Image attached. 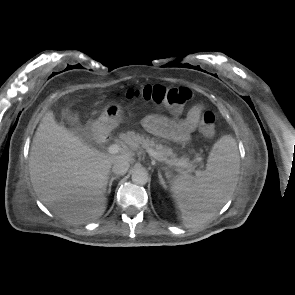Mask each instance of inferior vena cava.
<instances>
[{
  "label": "inferior vena cava",
  "mask_w": 295,
  "mask_h": 295,
  "mask_svg": "<svg viewBox=\"0 0 295 295\" xmlns=\"http://www.w3.org/2000/svg\"><path fill=\"white\" fill-rule=\"evenodd\" d=\"M130 164L128 161L119 160L113 164L112 172L117 175H124L128 171Z\"/></svg>",
  "instance_id": "1"
}]
</instances>
